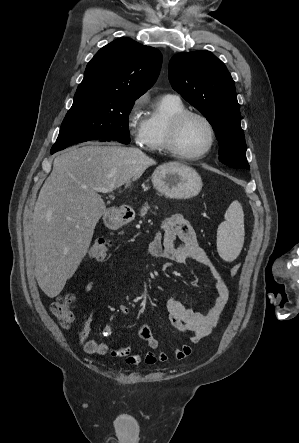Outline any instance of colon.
Returning <instances> with one entry per match:
<instances>
[{"label":"colon","instance_id":"colon-1","mask_svg":"<svg viewBox=\"0 0 299 443\" xmlns=\"http://www.w3.org/2000/svg\"><path fill=\"white\" fill-rule=\"evenodd\" d=\"M110 241L105 238L95 240L89 247L88 258L94 261H102L108 258L110 252ZM240 264L231 267L230 272L236 276L240 271ZM75 300L73 294L57 298L51 305L52 313L58 317L61 324L65 328H70L75 322V315L71 309V305Z\"/></svg>","mask_w":299,"mask_h":443}]
</instances>
